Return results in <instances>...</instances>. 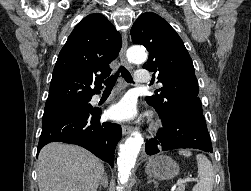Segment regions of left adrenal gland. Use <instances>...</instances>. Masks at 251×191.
Masks as SVG:
<instances>
[{"instance_id":"a2214340","label":"left adrenal gland","mask_w":251,"mask_h":191,"mask_svg":"<svg viewBox=\"0 0 251 191\" xmlns=\"http://www.w3.org/2000/svg\"><path fill=\"white\" fill-rule=\"evenodd\" d=\"M152 181L155 183V187H158V183L155 181V179H148L147 183H152Z\"/></svg>"}]
</instances>
